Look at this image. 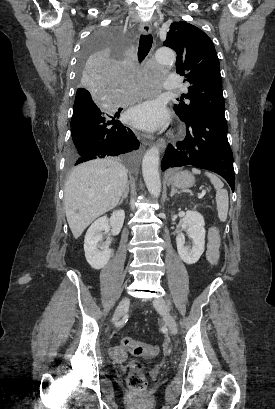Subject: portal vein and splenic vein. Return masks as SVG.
<instances>
[{
    "instance_id": "1",
    "label": "portal vein and splenic vein",
    "mask_w": 275,
    "mask_h": 409,
    "mask_svg": "<svg viewBox=\"0 0 275 409\" xmlns=\"http://www.w3.org/2000/svg\"><path fill=\"white\" fill-rule=\"evenodd\" d=\"M206 190H202L201 194H198V198H202V196H204Z\"/></svg>"
}]
</instances>
